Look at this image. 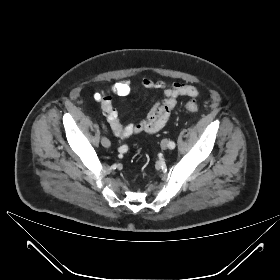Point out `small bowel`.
<instances>
[{
    "label": "small bowel",
    "mask_w": 280,
    "mask_h": 280,
    "mask_svg": "<svg viewBox=\"0 0 280 280\" xmlns=\"http://www.w3.org/2000/svg\"><path fill=\"white\" fill-rule=\"evenodd\" d=\"M142 86L147 90H161L164 98L154 103L147 117L137 123H122L118 111L112 103L114 95L127 96L131 93L132 86L130 80L123 79L115 83L109 90L94 94V99L100 104L113 133L117 137L125 139L142 132L157 133L167 123L180 97L187 96L194 98L199 95V91L195 86L185 82L168 84L163 80H153L150 77H144Z\"/></svg>",
    "instance_id": "c3829d8e"
}]
</instances>
